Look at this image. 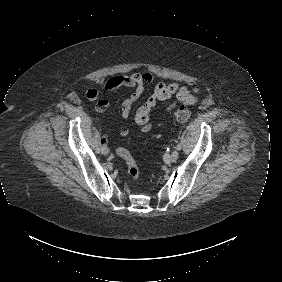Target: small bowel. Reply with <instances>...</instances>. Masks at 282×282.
I'll use <instances>...</instances> for the list:
<instances>
[{
    "label": "small bowel",
    "mask_w": 282,
    "mask_h": 282,
    "mask_svg": "<svg viewBox=\"0 0 282 282\" xmlns=\"http://www.w3.org/2000/svg\"><path fill=\"white\" fill-rule=\"evenodd\" d=\"M155 81V74L152 72H135L129 75H116L111 77L103 86L102 91L96 88H87L85 91V97L89 100H97L95 105V111L98 113L104 112L108 108V101L104 98H100L102 93L111 92L120 87L132 88L133 92L126 98L120 108L121 116L128 118L133 109L135 102L142 96L144 87L147 84H151ZM174 98L173 102L165 109V113H169L170 108L175 104H187L193 105L200 99L199 89H190L181 86L177 83H168L159 81L155 84L152 93L148 96L145 102L137 109L135 113V122L140 126L141 131L147 132L151 129L150 115L152 110L156 107L158 102L169 100ZM129 134V128L123 125L120 129V135L126 137ZM107 138H103L105 143Z\"/></svg>",
    "instance_id": "c3829d8e"
}]
</instances>
